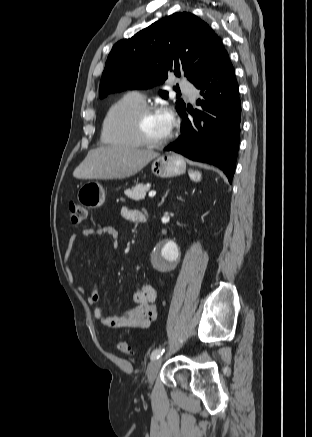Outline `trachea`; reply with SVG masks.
<instances>
[{"label":"trachea","instance_id":"3493384b","mask_svg":"<svg viewBox=\"0 0 312 437\" xmlns=\"http://www.w3.org/2000/svg\"><path fill=\"white\" fill-rule=\"evenodd\" d=\"M177 94H180V91H177Z\"/></svg>","mask_w":312,"mask_h":437}]
</instances>
